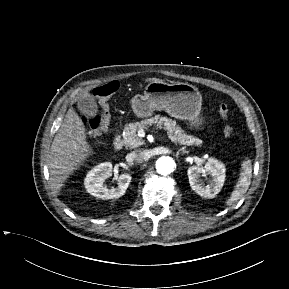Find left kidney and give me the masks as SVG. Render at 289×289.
I'll use <instances>...</instances> for the list:
<instances>
[{"label":"left kidney","mask_w":289,"mask_h":289,"mask_svg":"<svg viewBox=\"0 0 289 289\" xmlns=\"http://www.w3.org/2000/svg\"><path fill=\"white\" fill-rule=\"evenodd\" d=\"M187 175L192 190L204 198H214L223 187L225 166L217 159L209 158L204 167H189ZM201 177H206V183Z\"/></svg>","instance_id":"left-kidney-1"}]
</instances>
